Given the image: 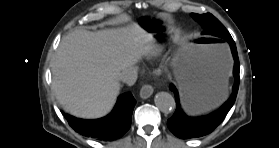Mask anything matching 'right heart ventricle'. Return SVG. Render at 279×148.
Here are the masks:
<instances>
[{"instance_id":"e07e8e85","label":"right heart ventricle","mask_w":279,"mask_h":148,"mask_svg":"<svg viewBox=\"0 0 279 148\" xmlns=\"http://www.w3.org/2000/svg\"><path fill=\"white\" fill-rule=\"evenodd\" d=\"M158 50V48H154L153 50H152V52L154 53V52H156Z\"/></svg>"}]
</instances>
